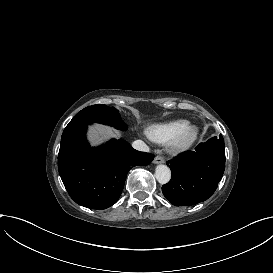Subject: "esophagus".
I'll use <instances>...</instances> for the list:
<instances>
[{"instance_id":"obj_1","label":"esophagus","mask_w":273,"mask_h":273,"mask_svg":"<svg viewBox=\"0 0 273 273\" xmlns=\"http://www.w3.org/2000/svg\"><path fill=\"white\" fill-rule=\"evenodd\" d=\"M153 163L154 164H161V163H164V159L160 156H156L153 160Z\"/></svg>"}]
</instances>
